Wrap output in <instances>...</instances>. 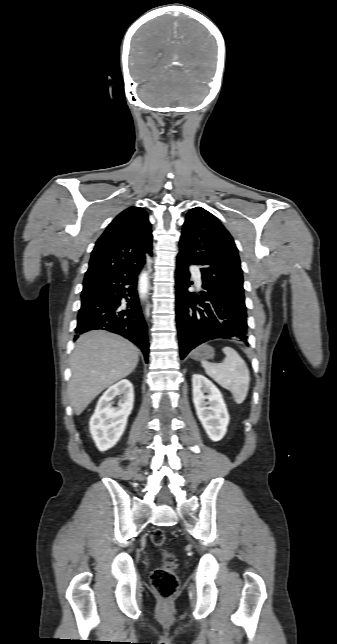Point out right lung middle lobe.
Returning <instances> with one entry per match:
<instances>
[{
  "instance_id": "1",
  "label": "right lung middle lobe",
  "mask_w": 337,
  "mask_h": 644,
  "mask_svg": "<svg viewBox=\"0 0 337 644\" xmlns=\"http://www.w3.org/2000/svg\"><path fill=\"white\" fill-rule=\"evenodd\" d=\"M91 285H92V284H89V285L84 284V285H83V286H84V287H83V291H85V290H86L88 287H90ZM83 291H82V292H83Z\"/></svg>"
}]
</instances>
